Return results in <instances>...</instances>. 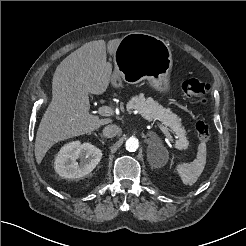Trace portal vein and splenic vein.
Segmentation results:
<instances>
[{"label": "portal vein and splenic vein", "instance_id": "portal-vein-and-splenic-vein-1", "mask_svg": "<svg viewBox=\"0 0 246 246\" xmlns=\"http://www.w3.org/2000/svg\"><path fill=\"white\" fill-rule=\"evenodd\" d=\"M99 114L102 116H112L114 114V111L111 107L109 106H102L99 108ZM159 128L161 131L167 135L171 141H173V138L171 137V134L168 132L167 128L164 127L162 124H158Z\"/></svg>", "mask_w": 246, "mask_h": 246}]
</instances>
